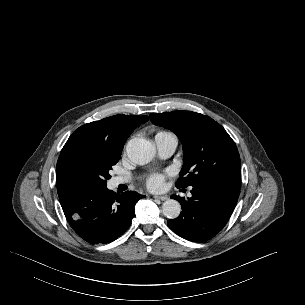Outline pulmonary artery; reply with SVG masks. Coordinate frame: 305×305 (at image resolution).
<instances>
[{
  "label": "pulmonary artery",
  "instance_id": "1",
  "mask_svg": "<svg viewBox=\"0 0 305 305\" xmlns=\"http://www.w3.org/2000/svg\"><path fill=\"white\" fill-rule=\"evenodd\" d=\"M155 144L160 157L168 158L174 153L177 147V139L172 134H161L155 136ZM124 182H127V179L121 177H116L113 180L114 185H118Z\"/></svg>",
  "mask_w": 305,
  "mask_h": 305
}]
</instances>
